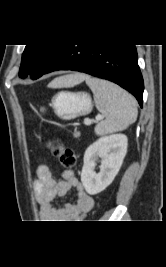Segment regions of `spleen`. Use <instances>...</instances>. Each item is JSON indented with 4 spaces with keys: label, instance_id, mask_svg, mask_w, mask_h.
Segmentation results:
<instances>
[{
    "label": "spleen",
    "instance_id": "1",
    "mask_svg": "<svg viewBox=\"0 0 166 267\" xmlns=\"http://www.w3.org/2000/svg\"><path fill=\"white\" fill-rule=\"evenodd\" d=\"M97 109L105 119L95 127L97 135L126 129L137 119V102L128 92L106 80L87 77Z\"/></svg>",
    "mask_w": 166,
    "mask_h": 267
}]
</instances>
